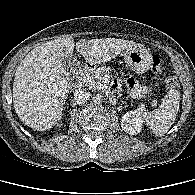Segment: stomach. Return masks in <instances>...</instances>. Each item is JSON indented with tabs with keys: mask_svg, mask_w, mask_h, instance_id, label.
Returning <instances> with one entry per match:
<instances>
[{
	"mask_svg": "<svg viewBox=\"0 0 195 195\" xmlns=\"http://www.w3.org/2000/svg\"><path fill=\"white\" fill-rule=\"evenodd\" d=\"M123 56L128 68L137 74H143L148 71L152 63V55L141 44H135L124 50Z\"/></svg>",
	"mask_w": 195,
	"mask_h": 195,
	"instance_id": "0dacf381",
	"label": "stomach"
}]
</instances>
